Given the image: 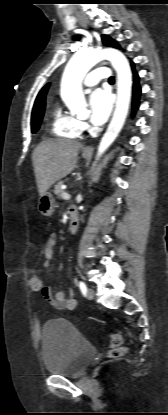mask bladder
I'll return each instance as SVG.
<instances>
[{
  "instance_id": "bladder-1",
  "label": "bladder",
  "mask_w": 168,
  "mask_h": 415,
  "mask_svg": "<svg viewBox=\"0 0 168 415\" xmlns=\"http://www.w3.org/2000/svg\"><path fill=\"white\" fill-rule=\"evenodd\" d=\"M96 348L65 319H50L42 328V355L49 374L78 377L93 362Z\"/></svg>"
}]
</instances>
